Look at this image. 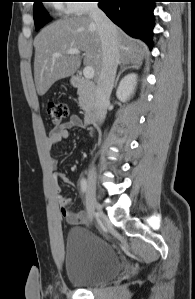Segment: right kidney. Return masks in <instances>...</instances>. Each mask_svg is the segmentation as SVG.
Instances as JSON below:
<instances>
[{
    "label": "right kidney",
    "instance_id": "1",
    "mask_svg": "<svg viewBox=\"0 0 195 299\" xmlns=\"http://www.w3.org/2000/svg\"><path fill=\"white\" fill-rule=\"evenodd\" d=\"M137 84V74L130 73L126 75L119 83L116 96L121 102H127L134 94Z\"/></svg>",
    "mask_w": 195,
    "mask_h": 299
}]
</instances>
